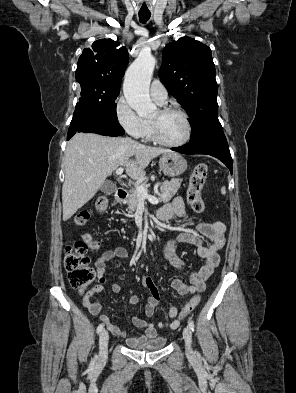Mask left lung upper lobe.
Masks as SVG:
<instances>
[{
	"mask_svg": "<svg viewBox=\"0 0 296 393\" xmlns=\"http://www.w3.org/2000/svg\"><path fill=\"white\" fill-rule=\"evenodd\" d=\"M159 76L190 117L189 143L223 132L218 120L215 65L208 46L189 37L167 44Z\"/></svg>",
	"mask_w": 296,
	"mask_h": 393,
	"instance_id": "1",
	"label": "left lung upper lobe"
}]
</instances>
